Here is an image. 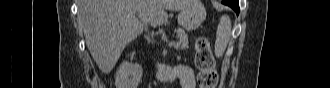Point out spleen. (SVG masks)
I'll list each match as a JSON object with an SVG mask.
<instances>
[{"instance_id":"3e777b00","label":"spleen","mask_w":330,"mask_h":88,"mask_svg":"<svg viewBox=\"0 0 330 88\" xmlns=\"http://www.w3.org/2000/svg\"><path fill=\"white\" fill-rule=\"evenodd\" d=\"M232 24L228 15H223L220 19L216 32L215 55L222 57L227 44L231 38Z\"/></svg>"}]
</instances>
